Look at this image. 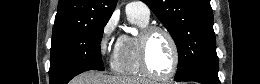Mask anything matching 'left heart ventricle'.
Returning <instances> with one entry per match:
<instances>
[{"label":"left heart ventricle","instance_id":"1","mask_svg":"<svg viewBox=\"0 0 260 84\" xmlns=\"http://www.w3.org/2000/svg\"><path fill=\"white\" fill-rule=\"evenodd\" d=\"M148 63L151 70L159 75H167L172 69V47L168 38L161 32L154 33L149 40Z\"/></svg>","mask_w":260,"mask_h":84}]
</instances>
